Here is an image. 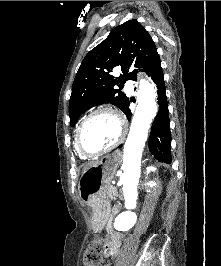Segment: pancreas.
<instances>
[{"mask_svg":"<svg viewBox=\"0 0 221 266\" xmlns=\"http://www.w3.org/2000/svg\"><path fill=\"white\" fill-rule=\"evenodd\" d=\"M106 194H107V198L109 199V200H112V201H115L116 200V198H117V189L114 187V186H112V185H110L108 188H107V192H106Z\"/></svg>","mask_w":221,"mask_h":266,"instance_id":"pancreas-1","label":"pancreas"}]
</instances>
